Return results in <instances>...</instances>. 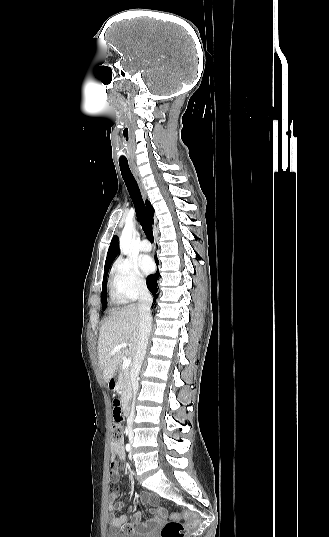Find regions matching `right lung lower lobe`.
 <instances>
[{
  "label": "right lung lower lobe",
  "mask_w": 329,
  "mask_h": 537,
  "mask_svg": "<svg viewBox=\"0 0 329 537\" xmlns=\"http://www.w3.org/2000/svg\"><path fill=\"white\" fill-rule=\"evenodd\" d=\"M155 261H156V264L158 265V259H157V256L155 257ZM159 278V273L158 271L155 273V274H152L150 276H148L147 278V287L148 289L150 290V292L152 293L154 299H156L157 297V280Z\"/></svg>",
  "instance_id": "right-lung-lower-lobe-1"
}]
</instances>
